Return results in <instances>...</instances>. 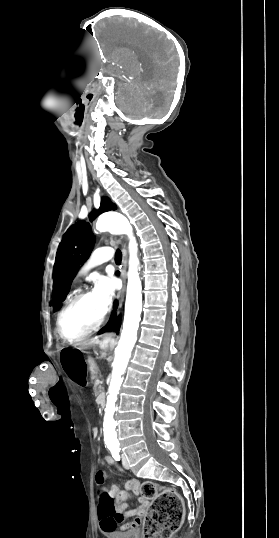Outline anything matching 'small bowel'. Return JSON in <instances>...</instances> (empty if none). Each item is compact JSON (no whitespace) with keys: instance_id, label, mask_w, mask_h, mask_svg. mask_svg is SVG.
Masks as SVG:
<instances>
[{"instance_id":"1","label":"small bowel","mask_w":279,"mask_h":538,"mask_svg":"<svg viewBox=\"0 0 279 538\" xmlns=\"http://www.w3.org/2000/svg\"><path fill=\"white\" fill-rule=\"evenodd\" d=\"M103 461L105 464L115 465L119 471L124 472L111 456H106ZM139 485L140 483L137 479H130L126 483L125 490H120L117 485H112L110 487V495L116 500V514L109 518L100 517L101 529L104 532L113 531L118 525H120L121 531H133L139 527L147 508L146 500L143 497H140V504L136 508L130 510H126L127 506L125 504V501L130 497V492L134 495L139 493ZM128 518H133V520L125 522Z\"/></svg>"}]
</instances>
